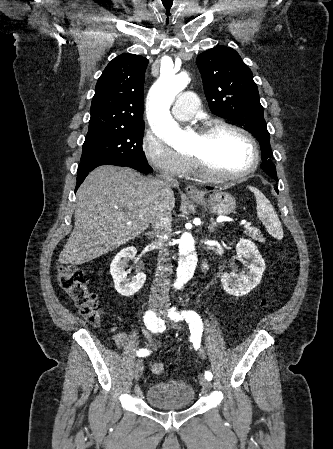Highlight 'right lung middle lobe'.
<instances>
[{"label": "right lung middle lobe", "mask_w": 333, "mask_h": 449, "mask_svg": "<svg viewBox=\"0 0 333 449\" xmlns=\"http://www.w3.org/2000/svg\"><path fill=\"white\" fill-rule=\"evenodd\" d=\"M143 123L126 127L100 126L89 128L81 163L121 161L147 165L142 150Z\"/></svg>", "instance_id": "dd1d6c3e"}]
</instances>
